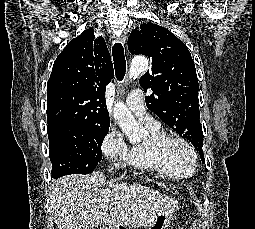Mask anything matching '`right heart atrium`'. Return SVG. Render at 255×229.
I'll return each instance as SVG.
<instances>
[{"label": "right heart atrium", "instance_id": "d8ad5b80", "mask_svg": "<svg viewBox=\"0 0 255 229\" xmlns=\"http://www.w3.org/2000/svg\"><path fill=\"white\" fill-rule=\"evenodd\" d=\"M101 150L110 163L117 164L125 158L127 147L121 134L111 128L102 142Z\"/></svg>", "mask_w": 255, "mask_h": 229}]
</instances>
